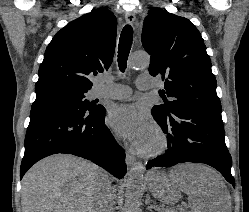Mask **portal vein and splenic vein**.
Returning a JSON list of instances; mask_svg holds the SVG:
<instances>
[{"label": "portal vein and splenic vein", "mask_w": 249, "mask_h": 212, "mask_svg": "<svg viewBox=\"0 0 249 212\" xmlns=\"http://www.w3.org/2000/svg\"><path fill=\"white\" fill-rule=\"evenodd\" d=\"M168 212H175V210H168Z\"/></svg>", "instance_id": "1"}]
</instances>
